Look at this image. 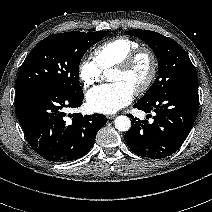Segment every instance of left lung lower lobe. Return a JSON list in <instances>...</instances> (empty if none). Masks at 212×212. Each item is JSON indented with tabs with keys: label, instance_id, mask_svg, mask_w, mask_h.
<instances>
[{
	"label": "left lung lower lobe",
	"instance_id": "1",
	"mask_svg": "<svg viewBox=\"0 0 212 212\" xmlns=\"http://www.w3.org/2000/svg\"><path fill=\"white\" fill-rule=\"evenodd\" d=\"M199 105L198 82L177 86L151 101H138L135 108L149 113L154 121L132 118L125 134L129 148L137 155L161 159L176 152L187 138L197 116Z\"/></svg>",
	"mask_w": 212,
	"mask_h": 212
}]
</instances>
